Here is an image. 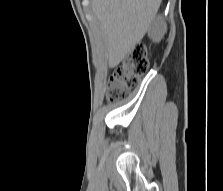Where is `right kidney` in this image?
Masks as SVG:
<instances>
[{"mask_svg": "<svg viewBox=\"0 0 223 191\" xmlns=\"http://www.w3.org/2000/svg\"><path fill=\"white\" fill-rule=\"evenodd\" d=\"M165 30H166L165 23L162 17L159 15L151 23L150 28L148 30V35L154 42H158L165 33Z\"/></svg>", "mask_w": 223, "mask_h": 191, "instance_id": "1", "label": "right kidney"}]
</instances>
